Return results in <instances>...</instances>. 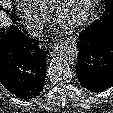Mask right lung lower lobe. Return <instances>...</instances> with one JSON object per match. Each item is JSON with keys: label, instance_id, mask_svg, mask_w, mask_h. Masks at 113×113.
<instances>
[{"label": "right lung lower lobe", "instance_id": "obj_1", "mask_svg": "<svg viewBox=\"0 0 113 113\" xmlns=\"http://www.w3.org/2000/svg\"><path fill=\"white\" fill-rule=\"evenodd\" d=\"M46 51L36 39L12 25L0 33V83L13 95L28 100L40 94L46 77Z\"/></svg>", "mask_w": 113, "mask_h": 113}]
</instances>
